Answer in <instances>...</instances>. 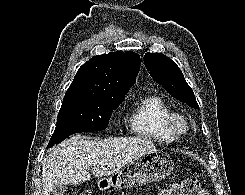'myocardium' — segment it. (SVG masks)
<instances>
[{"instance_id": "1", "label": "myocardium", "mask_w": 245, "mask_h": 195, "mask_svg": "<svg viewBox=\"0 0 245 195\" xmlns=\"http://www.w3.org/2000/svg\"><path fill=\"white\" fill-rule=\"evenodd\" d=\"M164 126L174 137L187 134L189 123L184 115L177 112H170L164 119Z\"/></svg>"}]
</instances>
